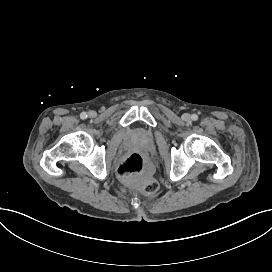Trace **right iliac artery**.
<instances>
[{
    "instance_id": "obj_1",
    "label": "right iliac artery",
    "mask_w": 272,
    "mask_h": 272,
    "mask_svg": "<svg viewBox=\"0 0 272 272\" xmlns=\"http://www.w3.org/2000/svg\"><path fill=\"white\" fill-rule=\"evenodd\" d=\"M80 118H81V119H86V118H87V113H86V112H82V113L80 114Z\"/></svg>"
}]
</instances>
